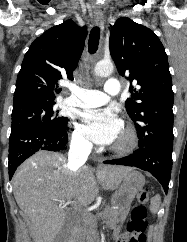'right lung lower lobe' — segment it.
Returning <instances> with one entry per match:
<instances>
[{
	"instance_id": "1",
	"label": "right lung lower lobe",
	"mask_w": 187,
	"mask_h": 242,
	"mask_svg": "<svg viewBox=\"0 0 187 242\" xmlns=\"http://www.w3.org/2000/svg\"><path fill=\"white\" fill-rule=\"evenodd\" d=\"M67 130L48 128H19L11 130L9 138V178L16 168L39 150L63 151L67 149Z\"/></svg>"
}]
</instances>
